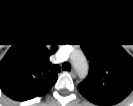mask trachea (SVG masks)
Masks as SVG:
<instances>
[{
  "label": "trachea",
  "instance_id": "obj_1",
  "mask_svg": "<svg viewBox=\"0 0 133 106\" xmlns=\"http://www.w3.org/2000/svg\"><path fill=\"white\" fill-rule=\"evenodd\" d=\"M62 68H63L64 70H71V67H70V65H69L68 63L63 64V65H62Z\"/></svg>",
  "mask_w": 133,
  "mask_h": 106
}]
</instances>
